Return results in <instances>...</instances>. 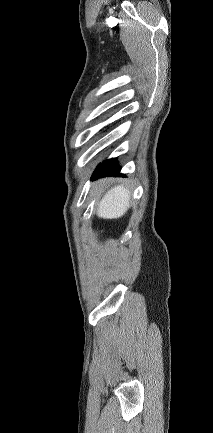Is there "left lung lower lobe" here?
Returning a JSON list of instances; mask_svg holds the SVG:
<instances>
[{
	"instance_id": "left-lung-lower-lobe-1",
	"label": "left lung lower lobe",
	"mask_w": 213,
	"mask_h": 433,
	"mask_svg": "<svg viewBox=\"0 0 213 433\" xmlns=\"http://www.w3.org/2000/svg\"><path fill=\"white\" fill-rule=\"evenodd\" d=\"M119 173L120 167L118 166L117 160L116 158H112L100 163L94 171L91 179L94 180L99 177L117 175Z\"/></svg>"
}]
</instances>
